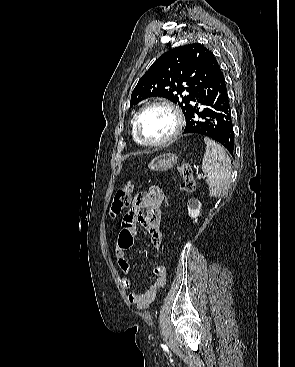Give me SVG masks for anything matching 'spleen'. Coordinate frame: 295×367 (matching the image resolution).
<instances>
[{
    "instance_id": "spleen-1",
    "label": "spleen",
    "mask_w": 295,
    "mask_h": 367,
    "mask_svg": "<svg viewBox=\"0 0 295 367\" xmlns=\"http://www.w3.org/2000/svg\"><path fill=\"white\" fill-rule=\"evenodd\" d=\"M206 151L202 162V171L206 175L211 197L225 194L231 179V160L226 151L215 141L204 138Z\"/></svg>"
}]
</instances>
